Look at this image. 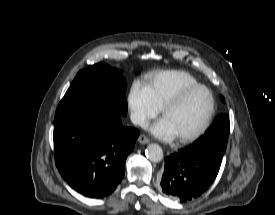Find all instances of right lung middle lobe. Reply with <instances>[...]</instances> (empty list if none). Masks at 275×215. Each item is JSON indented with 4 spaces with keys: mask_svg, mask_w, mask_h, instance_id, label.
Returning a JSON list of instances; mask_svg holds the SVG:
<instances>
[{
    "mask_svg": "<svg viewBox=\"0 0 275 215\" xmlns=\"http://www.w3.org/2000/svg\"><path fill=\"white\" fill-rule=\"evenodd\" d=\"M126 82L122 72L104 63L81 70L59 103L55 118L108 105L127 113Z\"/></svg>",
    "mask_w": 275,
    "mask_h": 215,
    "instance_id": "1",
    "label": "right lung middle lobe"
}]
</instances>
